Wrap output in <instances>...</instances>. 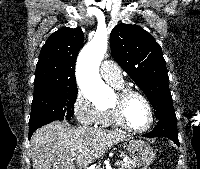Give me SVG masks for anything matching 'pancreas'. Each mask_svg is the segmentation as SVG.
<instances>
[{"label": "pancreas", "mask_w": 200, "mask_h": 169, "mask_svg": "<svg viewBox=\"0 0 200 169\" xmlns=\"http://www.w3.org/2000/svg\"><path fill=\"white\" fill-rule=\"evenodd\" d=\"M137 167V165L131 160L129 159L126 162H121V167L118 169H135ZM95 169H102L100 166H97Z\"/></svg>", "instance_id": "1"}]
</instances>
